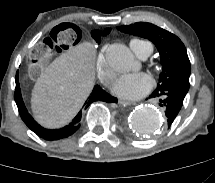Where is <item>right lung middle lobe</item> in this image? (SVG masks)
I'll use <instances>...</instances> for the list:
<instances>
[{
	"instance_id": "1",
	"label": "right lung middle lobe",
	"mask_w": 215,
	"mask_h": 183,
	"mask_svg": "<svg viewBox=\"0 0 215 183\" xmlns=\"http://www.w3.org/2000/svg\"><path fill=\"white\" fill-rule=\"evenodd\" d=\"M69 25L65 26L64 28L68 27ZM60 27V26H58ZM110 32V29H105V31L102 33L101 31L99 30H94L92 31V37L96 40L97 43H100V39H101V36H105L107 35L108 33ZM78 34V39L76 40L75 43H77L80 38H81V34L80 33H77Z\"/></svg>"
}]
</instances>
